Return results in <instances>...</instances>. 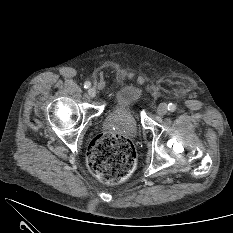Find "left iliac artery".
Masks as SVG:
<instances>
[{
	"label": "left iliac artery",
	"mask_w": 233,
	"mask_h": 233,
	"mask_svg": "<svg viewBox=\"0 0 233 233\" xmlns=\"http://www.w3.org/2000/svg\"><path fill=\"white\" fill-rule=\"evenodd\" d=\"M168 110L174 112L176 110V105L173 103L168 104Z\"/></svg>",
	"instance_id": "44dca946"
}]
</instances>
